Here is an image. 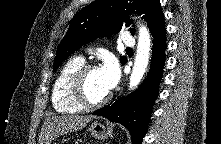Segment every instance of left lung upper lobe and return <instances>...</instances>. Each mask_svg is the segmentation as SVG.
Listing matches in <instances>:
<instances>
[{
  "instance_id": "left-lung-upper-lobe-1",
  "label": "left lung upper lobe",
  "mask_w": 221,
  "mask_h": 144,
  "mask_svg": "<svg viewBox=\"0 0 221 144\" xmlns=\"http://www.w3.org/2000/svg\"><path fill=\"white\" fill-rule=\"evenodd\" d=\"M143 15L150 30L163 16L160 0H96L82 8L71 20L68 31L60 42L53 72L70 54L97 37L111 35L121 30L123 22L131 24L129 14ZM130 32L135 33L131 28ZM122 64L126 58L121 57Z\"/></svg>"
}]
</instances>
